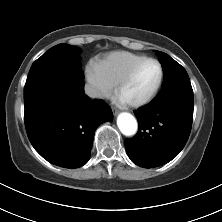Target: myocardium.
<instances>
[{
    "instance_id": "f54148a6",
    "label": "myocardium",
    "mask_w": 222,
    "mask_h": 222,
    "mask_svg": "<svg viewBox=\"0 0 222 222\" xmlns=\"http://www.w3.org/2000/svg\"><path fill=\"white\" fill-rule=\"evenodd\" d=\"M153 62L158 66L159 69V77L156 85L152 89V91L142 100L135 101V102H126L128 106L132 108H140L147 104H149L157 95L158 91L161 88L163 78H164V72L163 67L161 63L154 58H145L139 62H137L126 74L125 76L119 81V83L116 86V94L120 96L122 90L132 81L134 78L136 72L140 69L141 66H143L145 63Z\"/></svg>"
}]
</instances>
